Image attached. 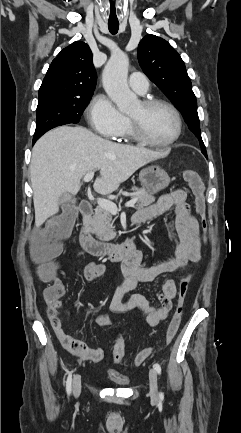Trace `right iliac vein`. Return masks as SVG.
Returning a JSON list of instances; mask_svg holds the SVG:
<instances>
[{"label":"right iliac vein","mask_w":241,"mask_h":433,"mask_svg":"<svg viewBox=\"0 0 241 433\" xmlns=\"http://www.w3.org/2000/svg\"><path fill=\"white\" fill-rule=\"evenodd\" d=\"M81 393V378L79 375H76L73 380V394L75 397H78Z\"/></svg>","instance_id":"1"}]
</instances>
